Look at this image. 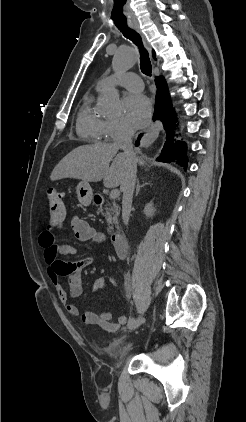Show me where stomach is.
Returning a JSON list of instances; mask_svg holds the SVG:
<instances>
[{
    "mask_svg": "<svg viewBox=\"0 0 246 422\" xmlns=\"http://www.w3.org/2000/svg\"><path fill=\"white\" fill-rule=\"evenodd\" d=\"M77 198L84 206H89L93 200V190L86 181H81L76 187Z\"/></svg>",
    "mask_w": 246,
    "mask_h": 422,
    "instance_id": "obj_1",
    "label": "stomach"
}]
</instances>
